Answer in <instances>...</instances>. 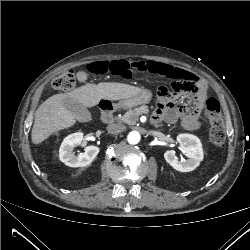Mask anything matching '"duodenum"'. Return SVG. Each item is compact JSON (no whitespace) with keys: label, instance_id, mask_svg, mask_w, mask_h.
Listing matches in <instances>:
<instances>
[{"label":"duodenum","instance_id":"410a0bca","mask_svg":"<svg viewBox=\"0 0 250 250\" xmlns=\"http://www.w3.org/2000/svg\"><path fill=\"white\" fill-rule=\"evenodd\" d=\"M101 119L105 123L112 121V108L108 104L101 105Z\"/></svg>","mask_w":250,"mask_h":250}]
</instances>
